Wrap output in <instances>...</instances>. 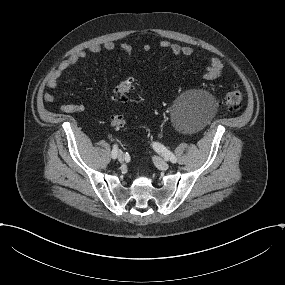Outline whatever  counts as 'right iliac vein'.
<instances>
[{"mask_svg":"<svg viewBox=\"0 0 285 285\" xmlns=\"http://www.w3.org/2000/svg\"><path fill=\"white\" fill-rule=\"evenodd\" d=\"M124 159H125V155H124L122 152H120V153L118 154V161H119V162H123Z\"/></svg>","mask_w":285,"mask_h":285,"instance_id":"63e3f726","label":"right iliac vein"}]
</instances>
